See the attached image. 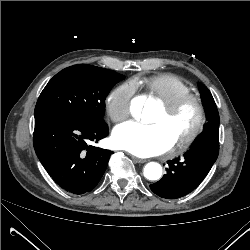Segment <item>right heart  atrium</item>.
Returning a JSON list of instances; mask_svg holds the SVG:
<instances>
[{
    "instance_id": "d8ad5b80",
    "label": "right heart atrium",
    "mask_w": 250,
    "mask_h": 250,
    "mask_svg": "<svg viewBox=\"0 0 250 250\" xmlns=\"http://www.w3.org/2000/svg\"><path fill=\"white\" fill-rule=\"evenodd\" d=\"M134 93V85L122 83L107 94L105 109L114 122H120L130 115Z\"/></svg>"
}]
</instances>
